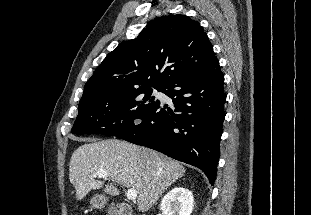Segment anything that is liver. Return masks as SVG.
I'll list each match as a JSON object with an SVG mask.
<instances>
[{"mask_svg":"<svg viewBox=\"0 0 311 215\" xmlns=\"http://www.w3.org/2000/svg\"><path fill=\"white\" fill-rule=\"evenodd\" d=\"M86 141L90 143L79 146L69 164V179L75 187L77 200H82L91 190L103 187L104 181L96 180L94 174L105 170L109 183L103 191L117 196L116 183L135 189L138 210L146 212L186 172L177 161L148 148L118 139Z\"/></svg>","mask_w":311,"mask_h":215,"instance_id":"1","label":"liver"}]
</instances>
